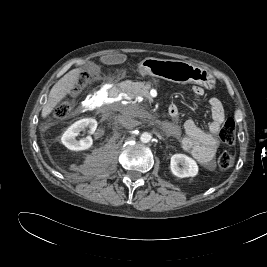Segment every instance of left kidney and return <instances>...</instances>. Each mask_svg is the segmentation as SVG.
I'll return each mask as SVG.
<instances>
[{"label":"left kidney","mask_w":267,"mask_h":267,"mask_svg":"<svg viewBox=\"0 0 267 267\" xmlns=\"http://www.w3.org/2000/svg\"><path fill=\"white\" fill-rule=\"evenodd\" d=\"M181 163L182 167L179 166ZM173 175L179 178L194 177L198 174V165L194 159L185 154H174L170 160Z\"/></svg>","instance_id":"1"}]
</instances>
